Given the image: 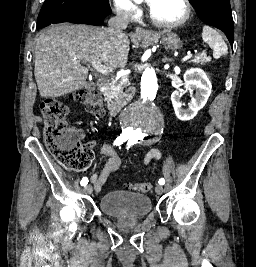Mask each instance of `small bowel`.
Instances as JSON below:
<instances>
[{"label": "small bowel", "instance_id": "small-bowel-1", "mask_svg": "<svg viewBox=\"0 0 256 267\" xmlns=\"http://www.w3.org/2000/svg\"><path fill=\"white\" fill-rule=\"evenodd\" d=\"M80 141L84 140L83 136L79 137ZM101 155L107 158V161L100 172L92 174L91 181L94 184L96 191H101L104 183L112 176V174L122 167V162L117 152L108 145H102L99 149ZM161 153L158 149H151L144 158V163H149L152 160H158Z\"/></svg>", "mask_w": 256, "mask_h": 267}]
</instances>
